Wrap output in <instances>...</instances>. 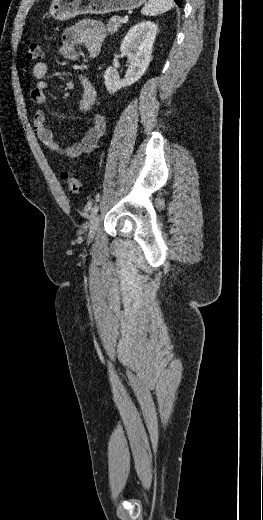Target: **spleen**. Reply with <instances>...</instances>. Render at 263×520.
<instances>
[{"label": "spleen", "instance_id": "obj_1", "mask_svg": "<svg viewBox=\"0 0 263 520\" xmlns=\"http://www.w3.org/2000/svg\"><path fill=\"white\" fill-rule=\"evenodd\" d=\"M173 5V0H148L141 13L145 16H155L169 11Z\"/></svg>", "mask_w": 263, "mask_h": 520}]
</instances>
